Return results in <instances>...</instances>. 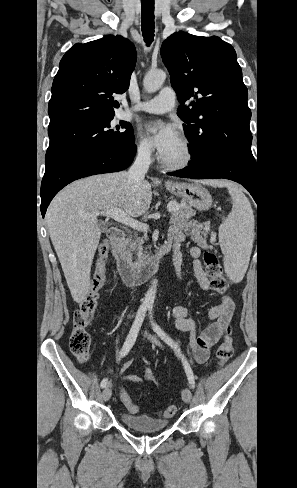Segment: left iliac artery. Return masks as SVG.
I'll use <instances>...</instances> for the list:
<instances>
[{
    "mask_svg": "<svg viewBox=\"0 0 297 488\" xmlns=\"http://www.w3.org/2000/svg\"><path fill=\"white\" fill-rule=\"evenodd\" d=\"M151 310L152 309H149V313L151 314ZM150 319H151V325H152V328L153 330L158 334V336L163 339L171 348L174 349L175 353L177 354V356H179L183 362V366H184V369H185V372H186V375L188 377V380H189V383L190 385L192 386V388H194L195 386V380H194V375H193V372H192V369L187 361V359L185 358V356L182 354L181 350H180V347L178 346V344H176L172 339L171 337H169L161 328L160 326L154 322L153 318H152V315H150Z\"/></svg>",
    "mask_w": 297,
    "mask_h": 488,
    "instance_id": "obj_1",
    "label": "left iliac artery"
}]
</instances>
